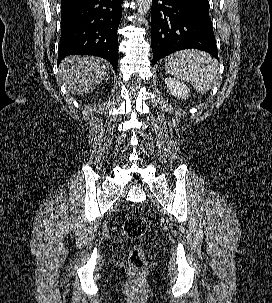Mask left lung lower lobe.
Masks as SVG:
<instances>
[{"instance_id":"obj_1","label":"left lung lower lobe","mask_w":272,"mask_h":303,"mask_svg":"<svg viewBox=\"0 0 272 303\" xmlns=\"http://www.w3.org/2000/svg\"><path fill=\"white\" fill-rule=\"evenodd\" d=\"M153 65L182 49L204 50L218 59L208 0H152Z\"/></svg>"}]
</instances>
